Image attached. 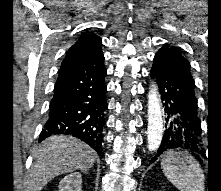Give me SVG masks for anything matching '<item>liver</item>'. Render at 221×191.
<instances>
[{"label": "liver", "instance_id": "6515ba94", "mask_svg": "<svg viewBox=\"0 0 221 191\" xmlns=\"http://www.w3.org/2000/svg\"><path fill=\"white\" fill-rule=\"evenodd\" d=\"M28 178V191H41L54 177L74 170L88 171L95 163L96 153L84 142L65 135L44 140L33 154Z\"/></svg>", "mask_w": 221, "mask_h": 191}]
</instances>
